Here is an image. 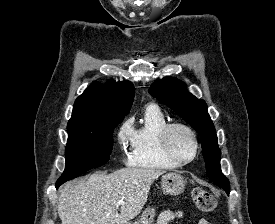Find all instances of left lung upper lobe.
Segmentation results:
<instances>
[{"label": "left lung upper lobe", "instance_id": "left-lung-upper-lobe-1", "mask_svg": "<svg viewBox=\"0 0 275 224\" xmlns=\"http://www.w3.org/2000/svg\"><path fill=\"white\" fill-rule=\"evenodd\" d=\"M149 93L166 104L195 129L203 139L202 153L207 176L221 188L229 189L230 184L221 171L220 156L215 127L207 112V104L190 94L186 85L177 78L165 77L156 80Z\"/></svg>", "mask_w": 275, "mask_h": 224}]
</instances>
